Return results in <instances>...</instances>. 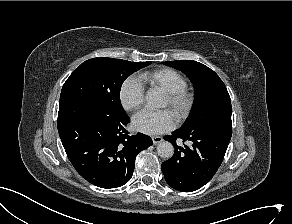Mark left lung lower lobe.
Listing matches in <instances>:
<instances>
[{
	"instance_id": "1",
	"label": "left lung lower lobe",
	"mask_w": 292,
	"mask_h": 224,
	"mask_svg": "<svg viewBox=\"0 0 292 224\" xmlns=\"http://www.w3.org/2000/svg\"><path fill=\"white\" fill-rule=\"evenodd\" d=\"M231 135L232 128L193 132L179 129L166 135L164 139L175 148L172 158L161 165L167 184L181 192L195 191L206 184L221 165ZM178 138L191 145L178 146Z\"/></svg>"
}]
</instances>
